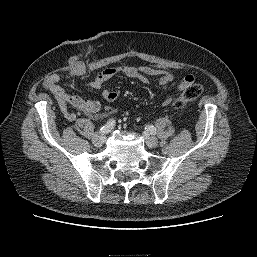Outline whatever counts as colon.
Segmentation results:
<instances>
[{
    "label": "colon",
    "instance_id": "5ec220e1",
    "mask_svg": "<svg viewBox=\"0 0 257 257\" xmlns=\"http://www.w3.org/2000/svg\"><path fill=\"white\" fill-rule=\"evenodd\" d=\"M203 92L202 85L194 82H189L182 92L174 98L172 106L174 109H180L185 104L196 100Z\"/></svg>",
    "mask_w": 257,
    "mask_h": 257
}]
</instances>
